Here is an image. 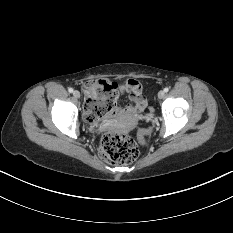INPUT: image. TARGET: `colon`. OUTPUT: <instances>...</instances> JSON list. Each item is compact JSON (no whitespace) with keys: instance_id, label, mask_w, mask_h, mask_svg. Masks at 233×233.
Returning <instances> with one entry per match:
<instances>
[{"instance_id":"5ec220e1","label":"colon","mask_w":233,"mask_h":233,"mask_svg":"<svg viewBox=\"0 0 233 233\" xmlns=\"http://www.w3.org/2000/svg\"><path fill=\"white\" fill-rule=\"evenodd\" d=\"M116 83L108 80H91L85 85L88 110L90 115L86 118L89 122L95 121L112 113L116 108ZM98 103L92 105V101ZM146 130L142 131V134ZM100 155L112 164H128L138 156L135 141L127 135L107 132L101 137Z\"/></svg>"}]
</instances>
